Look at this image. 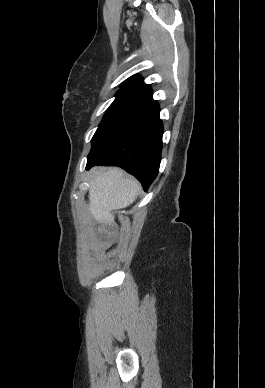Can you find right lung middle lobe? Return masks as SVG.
Returning a JSON list of instances; mask_svg holds the SVG:
<instances>
[{
	"label": "right lung middle lobe",
	"mask_w": 265,
	"mask_h": 388,
	"mask_svg": "<svg viewBox=\"0 0 265 388\" xmlns=\"http://www.w3.org/2000/svg\"><path fill=\"white\" fill-rule=\"evenodd\" d=\"M148 104L149 102L146 100L116 94V99L107 109L91 140V151L131 120Z\"/></svg>",
	"instance_id": "dd1d6c3e"
}]
</instances>
